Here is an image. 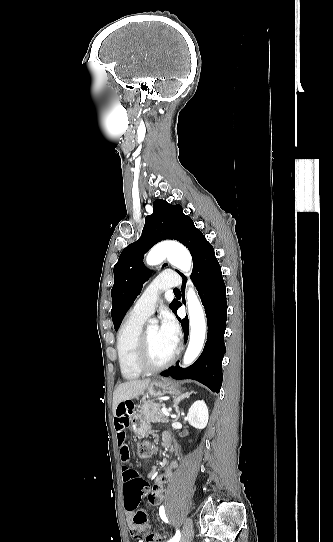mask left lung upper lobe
I'll list each match as a JSON object with an SVG mask.
<instances>
[{"instance_id":"5c2ea615","label":"left lung upper lobe","mask_w":333,"mask_h":542,"mask_svg":"<svg viewBox=\"0 0 333 542\" xmlns=\"http://www.w3.org/2000/svg\"><path fill=\"white\" fill-rule=\"evenodd\" d=\"M166 239L177 240L189 249L193 267L202 246L207 242L202 232L195 227L192 219L183 213L180 205H171L165 200L156 199L153 203L152 215L146 217L141 238L122 251L114 266L111 316L115 330L118 329L126 311L140 293L143 283L149 278L150 271L143 264L144 254L153 245ZM176 301L174 299L170 303L173 312L176 310Z\"/></svg>"}]
</instances>
